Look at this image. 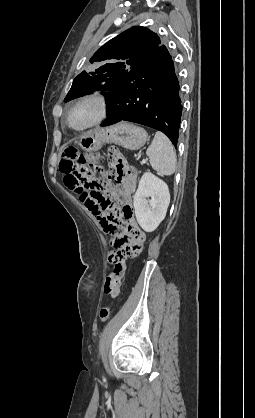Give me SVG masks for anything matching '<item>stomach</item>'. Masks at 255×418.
<instances>
[{
    "instance_id": "obj_1",
    "label": "stomach",
    "mask_w": 255,
    "mask_h": 418,
    "mask_svg": "<svg viewBox=\"0 0 255 418\" xmlns=\"http://www.w3.org/2000/svg\"><path fill=\"white\" fill-rule=\"evenodd\" d=\"M148 140V134L142 127L131 123H120L89 131L80 139L79 145L85 151L98 150L104 143H114L130 150H137Z\"/></svg>"
}]
</instances>
